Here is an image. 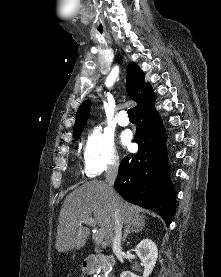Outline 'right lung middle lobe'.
Returning <instances> with one entry per match:
<instances>
[{
	"label": "right lung middle lobe",
	"instance_id": "right-lung-middle-lobe-1",
	"mask_svg": "<svg viewBox=\"0 0 221 277\" xmlns=\"http://www.w3.org/2000/svg\"><path fill=\"white\" fill-rule=\"evenodd\" d=\"M80 135H81V131L77 132V133H74L73 137H74V139H78Z\"/></svg>",
	"mask_w": 221,
	"mask_h": 277
}]
</instances>
